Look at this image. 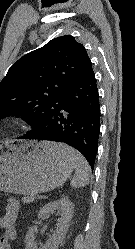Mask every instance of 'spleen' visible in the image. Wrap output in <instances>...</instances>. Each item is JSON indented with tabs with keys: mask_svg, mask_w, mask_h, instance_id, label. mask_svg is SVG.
Segmentation results:
<instances>
[{
	"mask_svg": "<svg viewBox=\"0 0 135 249\" xmlns=\"http://www.w3.org/2000/svg\"><path fill=\"white\" fill-rule=\"evenodd\" d=\"M57 149L74 164L75 173L71 180V186L74 188L86 186L89 183L90 167L85 158L79 152L65 144L59 143Z\"/></svg>",
	"mask_w": 135,
	"mask_h": 249,
	"instance_id": "spleen-1",
	"label": "spleen"
}]
</instances>
